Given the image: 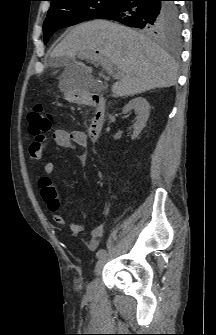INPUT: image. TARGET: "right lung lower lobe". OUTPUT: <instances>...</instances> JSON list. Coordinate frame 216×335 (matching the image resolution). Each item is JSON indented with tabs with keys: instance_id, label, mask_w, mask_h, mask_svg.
Masks as SVG:
<instances>
[{
	"instance_id": "98d812e1",
	"label": "right lung lower lobe",
	"mask_w": 216,
	"mask_h": 335,
	"mask_svg": "<svg viewBox=\"0 0 216 335\" xmlns=\"http://www.w3.org/2000/svg\"><path fill=\"white\" fill-rule=\"evenodd\" d=\"M168 14L172 23L179 22L177 8L172 1L118 0L114 7L99 19L115 20L129 27L157 32L162 28Z\"/></svg>"
}]
</instances>
